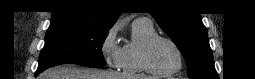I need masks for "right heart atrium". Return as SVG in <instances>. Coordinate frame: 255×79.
I'll use <instances>...</instances> for the list:
<instances>
[{"label":"right heart atrium","mask_w":255,"mask_h":79,"mask_svg":"<svg viewBox=\"0 0 255 79\" xmlns=\"http://www.w3.org/2000/svg\"><path fill=\"white\" fill-rule=\"evenodd\" d=\"M100 53L107 66L118 68L121 60V48L116 41V32L109 28L100 42Z\"/></svg>","instance_id":"right-heart-atrium-1"}]
</instances>
